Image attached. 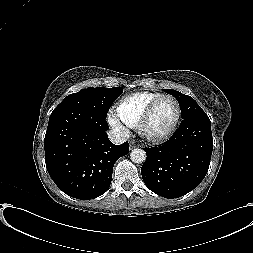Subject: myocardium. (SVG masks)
<instances>
[{
  "label": "myocardium",
  "instance_id": "1",
  "mask_svg": "<svg viewBox=\"0 0 253 253\" xmlns=\"http://www.w3.org/2000/svg\"><path fill=\"white\" fill-rule=\"evenodd\" d=\"M164 99H171L175 103L176 117H175V120H174L172 126L166 132H164L162 134H158V135H152V134L148 133L147 126L153 116V113H154L156 107ZM181 113H182V111H181L180 103L174 96L168 95V94L161 95L158 98H156L154 101H152V103L145 110L144 114L142 115V117L139 120L138 125H137L138 132L142 138H144L145 140H147L151 143H162V142L168 140L176 131V129L179 125L180 119H181Z\"/></svg>",
  "mask_w": 253,
  "mask_h": 253
}]
</instances>
